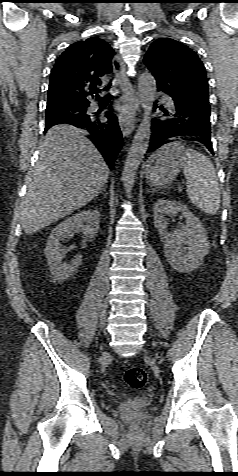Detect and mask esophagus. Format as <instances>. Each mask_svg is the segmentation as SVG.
<instances>
[{
    "instance_id": "esophagus-1",
    "label": "esophagus",
    "mask_w": 238,
    "mask_h": 476,
    "mask_svg": "<svg viewBox=\"0 0 238 476\" xmlns=\"http://www.w3.org/2000/svg\"><path fill=\"white\" fill-rule=\"evenodd\" d=\"M113 69L123 92V105L119 115V126L124 136L130 135L135 126L136 114L139 110V98L127 74L126 65L119 55L113 57Z\"/></svg>"
}]
</instances>
